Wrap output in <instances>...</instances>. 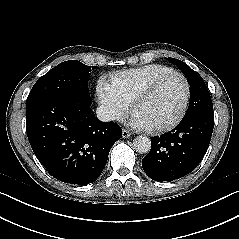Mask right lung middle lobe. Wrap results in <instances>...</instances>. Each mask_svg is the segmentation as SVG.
Returning <instances> with one entry per match:
<instances>
[{"label":"right lung middle lobe","instance_id":"right-lung-middle-lobe-1","mask_svg":"<svg viewBox=\"0 0 239 239\" xmlns=\"http://www.w3.org/2000/svg\"><path fill=\"white\" fill-rule=\"evenodd\" d=\"M96 66L77 60L62 62L40 77L32 87L27 104L46 98L90 97L88 79Z\"/></svg>","mask_w":239,"mask_h":239}]
</instances>
